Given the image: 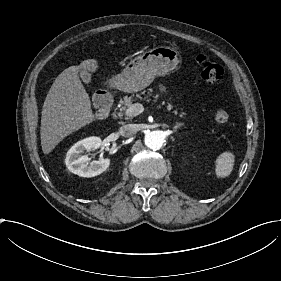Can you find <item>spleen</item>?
Listing matches in <instances>:
<instances>
[{
    "instance_id": "3e777b00",
    "label": "spleen",
    "mask_w": 281,
    "mask_h": 281,
    "mask_svg": "<svg viewBox=\"0 0 281 281\" xmlns=\"http://www.w3.org/2000/svg\"><path fill=\"white\" fill-rule=\"evenodd\" d=\"M233 166V159L231 154L224 153L217 159V175L227 176L230 174Z\"/></svg>"
}]
</instances>
